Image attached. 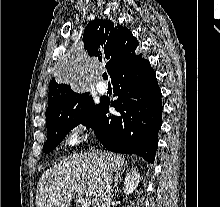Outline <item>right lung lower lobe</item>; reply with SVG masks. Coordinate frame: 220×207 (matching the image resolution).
<instances>
[{
  "instance_id": "1",
  "label": "right lung lower lobe",
  "mask_w": 220,
  "mask_h": 207,
  "mask_svg": "<svg viewBox=\"0 0 220 207\" xmlns=\"http://www.w3.org/2000/svg\"><path fill=\"white\" fill-rule=\"evenodd\" d=\"M119 98L110 104L102 99L85 124L102 145L117 153H134L153 163L161 128V90L148 60L136 54L112 77ZM109 106L120 115L109 114Z\"/></svg>"
}]
</instances>
